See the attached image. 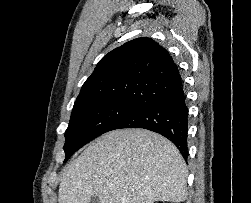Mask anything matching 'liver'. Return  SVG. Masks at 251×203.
Returning a JSON list of instances; mask_svg holds the SVG:
<instances>
[{"mask_svg":"<svg viewBox=\"0 0 251 203\" xmlns=\"http://www.w3.org/2000/svg\"><path fill=\"white\" fill-rule=\"evenodd\" d=\"M188 170L176 148L145 129L110 131L61 173L59 203L182 202Z\"/></svg>","mask_w":251,"mask_h":203,"instance_id":"6515ba94","label":"liver"}]
</instances>
